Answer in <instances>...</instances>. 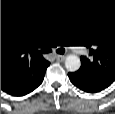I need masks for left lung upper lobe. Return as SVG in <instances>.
Segmentation results:
<instances>
[{"label": "left lung upper lobe", "mask_w": 115, "mask_h": 114, "mask_svg": "<svg viewBox=\"0 0 115 114\" xmlns=\"http://www.w3.org/2000/svg\"><path fill=\"white\" fill-rule=\"evenodd\" d=\"M89 49L88 56H81V67L77 71L115 81V20L101 26L85 41Z\"/></svg>", "instance_id": "left-lung-upper-lobe-1"}]
</instances>
